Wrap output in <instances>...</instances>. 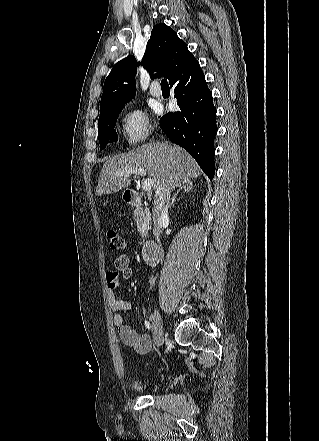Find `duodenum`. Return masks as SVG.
I'll return each mask as SVG.
<instances>
[{
    "label": "duodenum",
    "mask_w": 319,
    "mask_h": 441,
    "mask_svg": "<svg viewBox=\"0 0 319 441\" xmlns=\"http://www.w3.org/2000/svg\"><path fill=\"white\" fill-rule=\"evenodd\" d=\"M124 198L125 201L132 206H139L143 203L141 196L134 190L126 191ZM142 257L146 263L152 266L157 265L160 259V253L156 244L150 241L145 242L142 246Z\"/></svg>",
    "instance_id": "1"
}]
</instances>
